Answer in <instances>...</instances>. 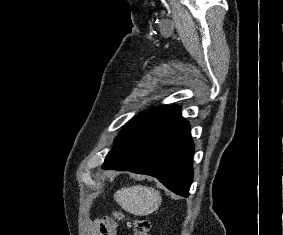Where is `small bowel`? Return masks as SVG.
Returning <instances> with one entry per match:
<instances>
[{"label":"small bowel","mask_w":283,"mask_h":235,"mask_svg":"<svg viewBox=\"0 0 283 235\" xmlns=\"http://www.w3.org/2000/svg\"><path fill=\"white\" fill-rule=\"evenodd\" d=\"M92 228L95 235H116V223L107 217H102L94 221Z\"/></svg>","instance_id":"obj_1"}]
</instances>
